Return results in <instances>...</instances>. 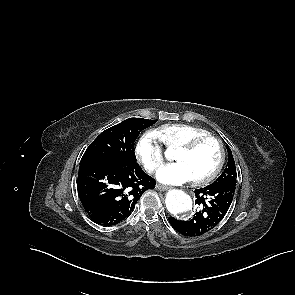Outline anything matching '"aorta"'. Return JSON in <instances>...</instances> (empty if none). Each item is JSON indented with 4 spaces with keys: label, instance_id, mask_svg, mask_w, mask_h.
<instances>
[{
    "label": "aorta",
    "instance_id": "aorta-1",
    "mask_svg": "<svg viewBox=\"0 0 295 295\" xmlns=\"http://www.w3.org/2000/svg\"><path fill=\"white\" fill-rule=\"evenodd\" d=\"M167 210L173 215L186 214L192 210L191 197L181 190L168 191L165 199Z\"/></svg>",
    "mask_w": 295,
    "mask_h": 295
}]
</instances>
